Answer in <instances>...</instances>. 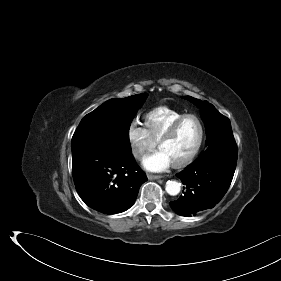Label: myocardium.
I'll return each instance as SVG.
<instances>
[{
	"mask_svg": "<svg viewBox=\"0 0 281 281\" xmlns=\"http://www.w3.org/2000/svg\"><path fill=\"white\" fill-rule=\"evenodd\" d=\"M187 118H194L197 121L200 129L199 139L194 149L185 158L173 163V166L176 168L184 167L190 164L200 152L205 136V129L202 120L198 115L193 113L183 114L168 127V129L165 131V133L161 136V138L158 141V147L161 148V146L165 142H167L173 137L180 124Z\"/></svg>",
	"mask_w": 281,
	"mask_h": 281,
	"instance_id": "obj_1",
	"label": "myocardium"
}]
</instances>
